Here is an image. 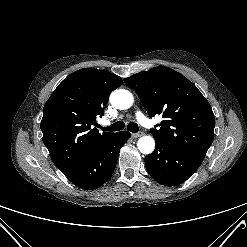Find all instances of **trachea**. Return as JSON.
Listing matches in <instances>:
<instances>
[{
    "label": "trachea",
    "instance_id": "obj_1",
    "mask_svg": "<svg viewBox=\"0 0 247 247\" xmlns=\"http://www.w3.org/2000/svg\"><path fill=\"white\" fill-rule=\"evenodd\" d=\"M102 130L104 131H110V132H113V131H120L124 128V123L122 121H118L110 126H107V127H100ZM127 129L130 131V132H133V133H136L138 132L139 128H138V125L134 122H131L128 124L127 126Z\"/></svg>",
    "mask_w": 247,
    "mask_h": 247
}]
</instances>
